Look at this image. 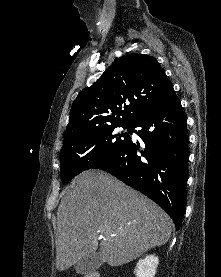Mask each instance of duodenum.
<instances>
[{"label": "duodenum", "instance_id": "duodenum-1", "mask_svg": "<svg viewBox=\"0 0 221 277\" xmlns=\"http://www.w3.org/2000/svg\"><path fill=\"white\" fill-rule=\"evenodd\" d=\"M90 277H98L97 275H95V274H93V275H91Z\"/></svg>", "mask_w": 221, "mask_h": 277}]
</instances>
